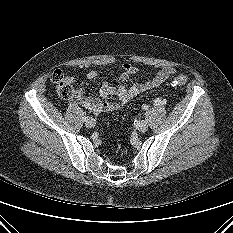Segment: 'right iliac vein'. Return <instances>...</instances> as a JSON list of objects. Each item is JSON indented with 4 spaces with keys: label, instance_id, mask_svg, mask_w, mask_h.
<instances>
[{
    "label": "right iliac vein",
    "instance_id": "63e3f726",
    "mask_svg": "<svg viewBox=\"0 0 233 233\" xmlns=\"http://www.w3.org/2000/svg\"><path fill=\"white\" fill-rule=\"evenodd\" d=\"M95 124L96 123H95V120L93 118H89L85 123L86 127H88V128H93L95 126Z\"/></svg>",
    "mask_w": 233,
    "mask_h": 233
}]
</instances>
